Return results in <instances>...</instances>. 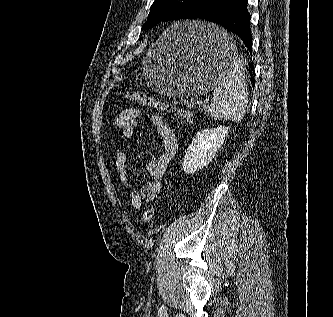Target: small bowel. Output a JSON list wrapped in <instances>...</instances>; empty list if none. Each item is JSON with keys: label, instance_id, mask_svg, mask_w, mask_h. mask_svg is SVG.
I'll use <instances>...</instances> for the list:
<instances>
[{"label": "small bowel", "instance_id": "1", "mask_svg": "<svg viewBox=\"0 0 333 317\" xmlns=\"http://www.w3.org/2000/svg\"><path fill=\"white\" fill-rule=\"evenodd\" d=\"M140 114L138 108L131 107L121 111L115 118V125L125 137L133 138ZM150 119L162 141L159 153L153 155L146 166L150 180L146 181L140 189H136L128 176L126 153L123 150H118L115 154L120 191L125 204L133 209H140L145 200L152 201L159 197L166 169L178 148V138L175 130L159 115L153 114Z\"/></svg>", "mask_w": 333, "mask_h": 317}]
</instances>
